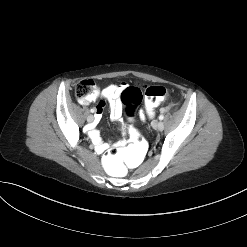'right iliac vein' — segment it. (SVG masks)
Here are the masks:
<instances>
[{"mask_svg": "<svg viewBox=\"0 0 247 247\" xmlns=\"http://www.w3.org/2000/svg\"><path fill=\"white\" fill-rule=\"evenodd\" d=\"M93 120H94V116H93V115H88V116H87V121H88V122L91 123V122H93Z\"/></svg>", "mask_w": 247, "mask_h": 247, "instance_id": "63e3f726", "label": "right iliac vein"}]
</instances>
